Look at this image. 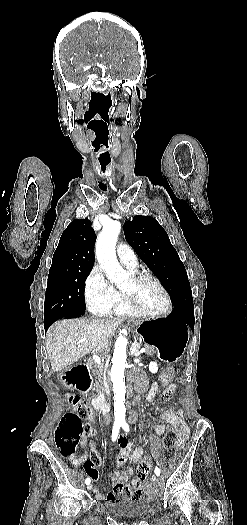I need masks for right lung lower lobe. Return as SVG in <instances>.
I'll return each instance as SVG.
<instances>
[{"label": "right lung lower lobe", "instance_id": "obj_1", "mask_svg": "<svg viewBox=\"0 0 247 525\" xmlns=\"http://www.w3.org/2000/svg\"><path fill=\"white\" fill-rule=\"evenodd\" d=\"M44 327H45V330H47L49 326H48V325H46V324H44Z\"/></svg>", "mask_w": 247, "mask_h": 525}]
</instances>
